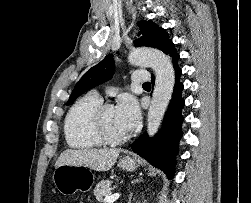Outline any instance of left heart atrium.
Here are the masks:
<instances>
[{
  "mask_svg": "<svg viewBox=\"0 0 251 203\" xmlns=\"http://www.w3.org/2000/svg\"><path fill=\"white\" fill-rule=\"evenodd\" d=\"M115 112L119 123L127 132L135 128L140 120L138 103L129 94H124L118 99Z\"/></svg>",
  "mask_w": 251,
  "mask_h": 203,
  "instance_id": "1",
  "label": "left heart atrium"
}]
</instances>
